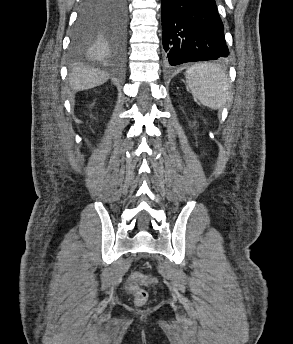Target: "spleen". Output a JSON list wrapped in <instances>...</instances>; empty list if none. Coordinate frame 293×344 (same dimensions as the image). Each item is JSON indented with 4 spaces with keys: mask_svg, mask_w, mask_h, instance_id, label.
Segmentation results:
<instances>
[{
    "mask_svg": "<svg viewBox=\"0 0 293 344\" xmlns=\"http://www.w3.org/2000/svg\"><path fill=\"white\" fill-rule=\"evenodd\" d=\"M187 84L199 102L212 109L221 108L229 95V79L223 69L197 64L185 73Z\"/></svg>",
    "mask_w": 293,
    "mask_h": 344,
    "instance_id": "spleen-1",
    "label": "spleen"
}]
</instances>
